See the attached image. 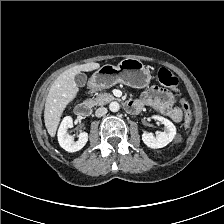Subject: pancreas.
Here are the masks:
<instances>
[{"mask_svg":"<svg viewBox=\"0 0 224 224\" xmlns=\"http://www.w3.org/2000/svg\"><path fill=\"white\" fill-rule=\"evenodd\" d=\"M112 100H115V97L109 93H97L95 99L92 100V104L95 106H103Z\"/></svg>","mask_w":224,"mask_h":224,"instance_id":"1","label":"pancreas"}]
</instances>
